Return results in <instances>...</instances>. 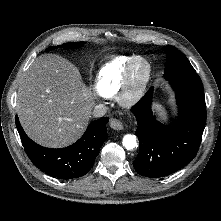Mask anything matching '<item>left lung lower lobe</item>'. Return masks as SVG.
<instances>
[{
  "instance_id": "obj_1",
  "label": "left lung lower lobe",
  "mask_w": 221,
  "mask_h": 221,
  "mask_svg": "<svg viewBox=\"0 0 221 221\" xmlns=\"http://www.w3.org/2000/svg\"><path fill=\"white\" fill-rule=\"evenodd\" d=\"M169 83L179 107L172 127L157 121L151 111L153 88L131 109L140 142L133 166L138 174L150 178L170 175L188 164L197 154L206 123L204 89L198 74H180Z\"/></svg>"
}]
</instances>
